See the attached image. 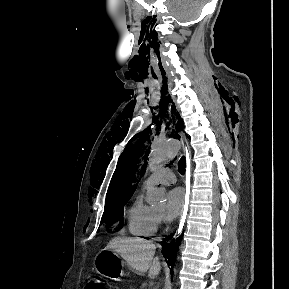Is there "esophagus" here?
Segmentation results:
<instances>
[{"label":"esophagus","mask_w":289,"mask_h":289,"mask_svg":"<svg viewBox=\"0 0 289 289\" xmlns=\"http://www.w3.org/2000/svg\"><path fill=\"white\" fill-rule=\"evenodd\" d=\"M182 139V138H181ZM184 154H185V159H186V179H185V185L186 188L189 186V181H188V177H189V173H190V159H189V155H188V151L187 148H183ZM185 208L183 211V214L181 215V219H180V223H179V229L178 232H180V230L183 228L184 222H185Z\"/></svg>","instance_id":"1"}]
</instances>
